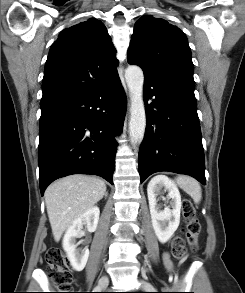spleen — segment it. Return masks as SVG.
<instances>
[{
  "label": "spleen",
  "instance_id": "3e777b00",
  "mask_svg": "<svg viewBox=\"0 0 245 293\" xmlns=\"http://www.w3.org/2000/svg\"><path fill=\"white\" fill-rule=\"evenodd\" d=\"M175 182L182 190L191 196L196 204L201 201L202 191L197 180L190 176H178Z\"/></svg>",
  "mask_w": 245,
  "mask_h": 293
}]
</instances>
